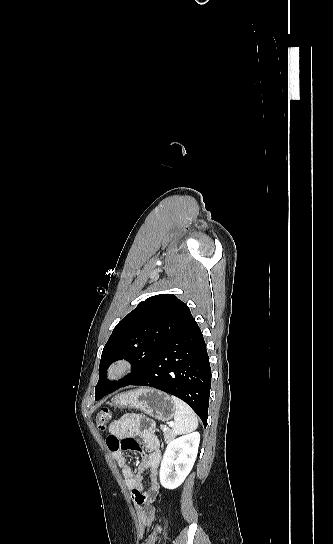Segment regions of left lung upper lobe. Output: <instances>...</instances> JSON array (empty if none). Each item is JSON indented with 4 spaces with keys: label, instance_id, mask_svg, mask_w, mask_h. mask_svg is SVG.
<instances>
[{
    "label": "left lung upper lobe",
    "instance_id": "5c2ea615",
    "mask_svg": "<svg viewBox=\"0 0 333 544\" xmlns=\"http://www.w3.org/2000/svg\"><path fill=\"white\" fill-rule=\"evenodd\" d=\"M189 314L187 305L173 294L155 295L140 302L115 326L103 349L95 396L111 393L139 377ZM121 359L131 363V373L119 381H105L108 367Z\"/></svg>",
    "mask_w": 333,
    "mask_h": 544
}]
</instances>
